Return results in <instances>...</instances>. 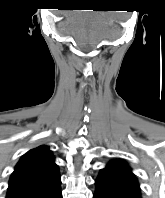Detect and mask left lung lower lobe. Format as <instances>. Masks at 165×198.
I'll return each instance as SVG.
<instances>
[{
	"mask_svg": "<svg viewBox=\"0 0 165 198\" xmlns=\"http://www.w3.org/2000/svg\"><path fill=\"white\" fill-rule=\"evenodd\" d=\"M93 198H141V191L122 182L111 173L101 170L95 182Z\"/></svg>",
	"mask_w": 165,
	"mask_h": 198,
	"instance_id": "1",
	"label": "left lung lower lobe"
}]
</instances>
